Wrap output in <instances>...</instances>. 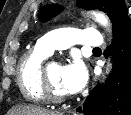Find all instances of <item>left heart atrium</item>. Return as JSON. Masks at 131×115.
Masks as SVG:
<instances>
[{
    "instance_id": "left-heart-atrium-1",
    "label": "left heart atrium",
    "mask_w": 131,
    "mask_h": 115,
    "mask_svg": "<svg viewBox=\"0 0 131 115\" xmlns=\"http://www.w3.org/2000/svg\"><path fill=\"white\" fill-rule=\"evenodd\" d=\"M60 80L62 89L67 94L79 91L86 81V71L82 63L75 61L61 67Z\"/></svg>"
}]
</instances>
